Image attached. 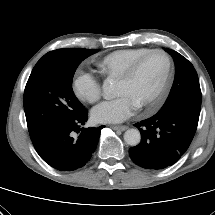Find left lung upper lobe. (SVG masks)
<instances>
[{
  "label": "left lung upper lobe",
  "mask_w": 215,
  "mask_h": 215,
  "mask_svg": "<svg viewBox=\"0 0 215 215\" xmlns=\"http://www.w3.org/2000/svg\"><path fill=\"white\" fill-rule=\"evenodd\" d=\"M166 51L174 58L176 72L170 94L159 111L179 108L199 116L202 95L193 65L178 52L171 49Z\"/></svg>",
  "instance_id": "left-lung-upper-lobe-1"
}]
</instances>
